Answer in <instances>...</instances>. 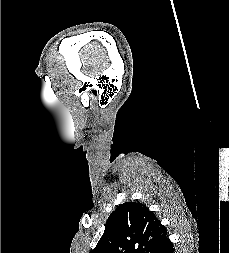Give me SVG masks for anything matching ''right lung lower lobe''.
<instances>
[{
	"mask_svg": "<svg viewBox=\"0 0 229 253\" xmlns=\"http://www.w3.org/2000/svg\"><path fill=\"white\" fill-rule=\"evenodd\" d=\"M157 253H174V248L172 242L166 243L163 247L159 249Z\"/></svg>",
	"mask_w": 229,
	"mask_h": 253,
	"instance_id": "1",
	"label": "right lung lower lobe"
}]
</instances>
